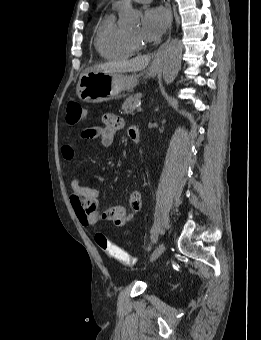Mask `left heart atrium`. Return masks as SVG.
<instances>
[{
  "instance_id": "left-heart-atrium-1",
  "label": "left heart atrium",
  "mask_w": 261,
  "mask_h": 340,
  "mask_svg": "<svg viewBox=\"0 0 261 340\" xmlns=\"http://www.w3.org/2000/svg\"><path fill=\"white\" fill-rule=\"evenodd\" d=\"M170 21L169 12L162 6L145 10L142 16L141 39L154 43L163 35Z\"/></svg>"
}]
</instances>
